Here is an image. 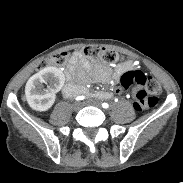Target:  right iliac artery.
<instances>
[{
  "label": "right iliac artery",
  "mask_w": 183,
  "mask_h": 183,
  "mask_svg": "<svg viewBox=\"0 0 183 183\" xmlns=\"http://www.w3.org/2000/svg\"><path fill=\"white\" fill-rule=\"evenodd\" d=\"M84 99V96H77L76 97V100H83Z\"/></svg>",
  "instance_id": "1"
}]
</instances>
